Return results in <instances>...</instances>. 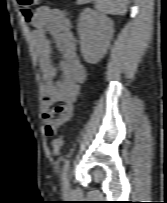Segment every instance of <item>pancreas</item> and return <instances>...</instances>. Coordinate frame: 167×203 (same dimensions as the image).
<instances>
[{
  "label": "pancreas",
  "instance_id": "1",
  "mask_svg": "<svg viewBox=\"0 0 167 203\" xmlns=\"http://www.w3.org/2000/svg\"><path fill=\"white\" fill-rule=\"evenodd\" d=\"M88 0H77V4H85Z\"/></svg>",
  "mask_w": 167,
  "mask_h": 203
}]
</instances>
